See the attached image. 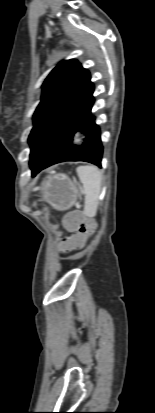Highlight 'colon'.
I'll use <instances>...</instances> for the list:
<instances>
[{
	"label": "colon",
	"instance_id": "1",
	"mask_svg": "<svg viewBox=\"0 0 155 413\" xmlns=\"http://www.w3.org/2000/svg\"><path fill=\"white\" fill-rule=\"evenodd\" d=\"M66 223L70 227H74L78 223V218L76 216H69L66 219ZM93 227L90 223L81 224L78 230V235L81 237L69 236L68 239L56 240V247L71 248L73 251H80L81 248L86 246V241L83 236L90 234Z\"/></svg>",
	"mask_w": 155,
	"mask_h": 413
}]
</instances>
